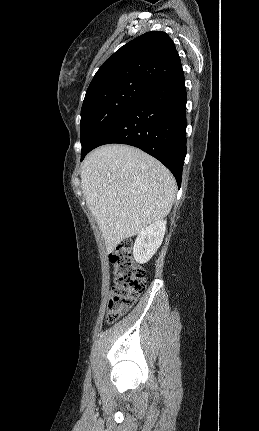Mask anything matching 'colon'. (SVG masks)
I'll return each instance as SVG.
<instances>
[{
  "mask_svg": "<svg viewBox=\"0 0 259 431\" xmlns=\"http://www.w3.org/2000/svg\"><path fill=\"white\" fill-rule=\"evenodd\" d=\"M132 241H122L110 254L113 283L109 292L106 319L113 323L123 316L146 288L145 271L135 263Z\"/></svg>",
  "mask_w": 259,
  "mask_h": 431,
  "instance_id": "obj_1",
  "label": "colon"
}]
</instances>
